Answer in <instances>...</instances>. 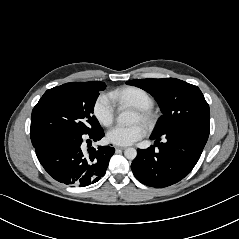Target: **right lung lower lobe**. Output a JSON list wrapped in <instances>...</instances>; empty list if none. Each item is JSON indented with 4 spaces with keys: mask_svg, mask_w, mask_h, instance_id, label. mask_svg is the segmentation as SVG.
<instances>
[{
    "mask_svg": "<svg viewBox=\"0 0 239 239\" xmlns=\"http://www.w3.org/2000/svg\"><path fill=\"white\" fill-rule=\"evenodd\" d=\"M103 136L102 128L88 134L60 131L44 136L34 148L38 160L52 178L67 185L84 187L104 176L115 152L110 146L91 147L90 139L97 141Z\"/></svg>",
    "mask_w": 239,
    "mask_h": 239,
    "instance_id": "obj_1",
    "label": "right lung lower lobe"
}]
</instances>
